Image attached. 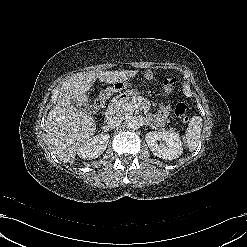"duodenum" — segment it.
Instances as JSON below:
<instances>
[{
  "mask_svg": "<svg viewBox=\"0 0 247 247\" xmlns=\"http://www.w3.org/2000/svg\"><path fill=\"white\" fill-rule=\"evenodd\" d=\"M112 112H113V108H109V109L107 110V115L110 116V115L112 114Z\"/></svg>",
  "mask_w": 247,
  "mask_h": 247,
  "instance_id": "410a0bca",
  "label": "duodenum"
}]
</instances>
